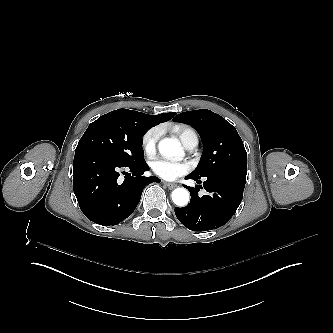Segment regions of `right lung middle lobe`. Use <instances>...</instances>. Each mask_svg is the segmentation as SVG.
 Segmentation results:
<instances>
[{
	"instance_id": "dd1d6c3e",
	"label": "right lung middle lobe",
	"mask_w": 333,
	"mask_h": 333,
	"mask_svg": "<svg viewBox=\"0 0 333 333\" xmlns=\"http://www.w3.org/2000/svg\"><path fill=\"white\" fill-rule=\"evenodd\" d=\"M150 128L140 119L112 111L89 125L76 149L97 150L123 165L144 163L142 137Z\"/></svg>"
}]
</instances>
